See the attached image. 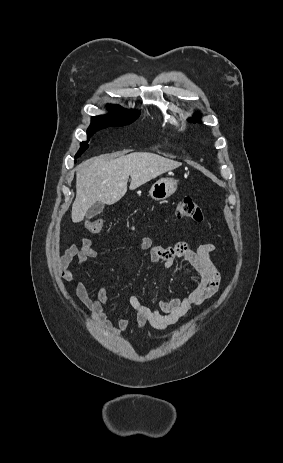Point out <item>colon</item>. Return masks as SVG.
Instances as JSON below:
<instances>
[{"label": "colon", "mask_w": 283, "mask_h": 463, "mask_svg": "<svg viewBox=\"0 0 283 463\" xmlns=\"http://www.w3.org/2000/svg\"><path fill=\"white\" fill-rule=\"evenodd\" d=\"M175 217L195 222H202L205 219L203 210L191 198H184L177 203ZM103 225L104 221L102 218H91L85 221L86 229L92 233H100Z\"/></svg>", "instance_id": "colon-1"}]
</instances>
